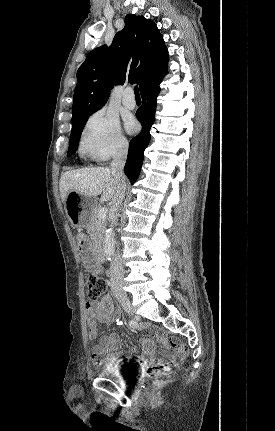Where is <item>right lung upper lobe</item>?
Here are the masks:
<instances>
[{
  "mask_svg": "<svg viewBox=\"0 0 275 431\" xmlns=\"http://www.w3.org/2000/svg\"><path fill=\"white\" fill-rule=\"evenodd\" d=\"M168 52L156 24L128 14L125 26L108 48L91 51L77 71L72 124L99 110L113 84L137 83L143 93L166 73Z\"/></svg>",
  "mask_w": 275,
  "mask_h": 431,
  "instance_id": "right-lung-upper-lobe-1",
  "label": "right lung upper lobe"
}]
</instances>
